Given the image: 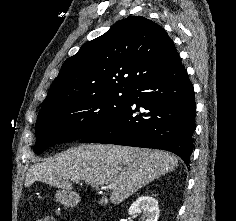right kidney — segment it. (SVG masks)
<instances>
[{
	"label": "right kidney",
	"mask_w": 236,
	"mask_h": 221,
	"mask_svg": "<svg viewBox=\"0 0 236 221\" xmlns=\"http://www.w3.org/2000/svg\"><path fill=\"white\" fill-rule=\"evenodd\" d=\"M128 212L130 215L143 213L145 221H157L159 217L158 201L151 196H141L133 202Z\"/></svg>",
	"instance_id": "obj_1"
}]
</instances>
